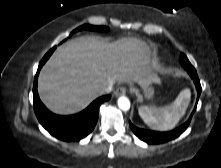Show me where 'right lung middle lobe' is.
Segmentation results:
<instances>
[{
  "label": "right lung middle lobe",
  "mask_w": 221,
  "mask_h": 168,
  "mask_svg": "<svg viewBox=\"0 0 221 168\" xmlns=\"http://www.w3.org/2000/svg\"><path fill=\"white\" fill-rule=\"evenodd\" d=\"M92 30V31H106L108 30L107 27H104V26H93V25H82L80 27H78L77 29L73 30L72 33L70 34V36L75 33V32H78V31H81V30Z\"/></svg>",
  "instance_id": "1"
}]
</instances>
